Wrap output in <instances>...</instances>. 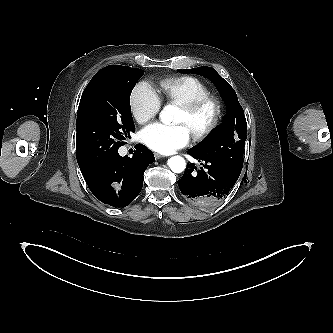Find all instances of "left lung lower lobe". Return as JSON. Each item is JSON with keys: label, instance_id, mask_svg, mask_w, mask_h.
I'll return each mask as SVG.
<instances>
[{"label": "left lung lower lobe", "instance_id": "1", "mask_svg": "<svg viewBox=\"0 0 333 333\" xmlns=\"http://www.w3.org/2000/svg\"><path fill=\"white\" fill-rule=\"evenodd\" d=\"M188 153L202 162V167L197 169L193 163L187 165L178 181L184 199L202 208L216 206L229 194L239 176L225 166L203 157L194 149Z\"/></svg>", "mask_w": 333, "mask_h": 333}]
</instances>
